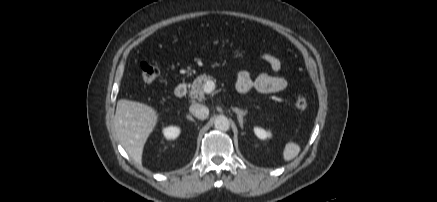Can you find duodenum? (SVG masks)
I'll return each mask as SVG.
<instances>
[{"label":"duodenum","instance_id":"410a0bca","mask_svg":"<svg viewBox=\"0 0 437 202\" xmlns=\"http://www.w3.org/2000/svg\"><path fill=\"white\" fill-rule=\"evenodd\" d=\"M188 86L187 83L181 82L174 89V95L178 98L185 96Z\"/></svg>","mask_w":437,"mask_h":202}]
</instances>
